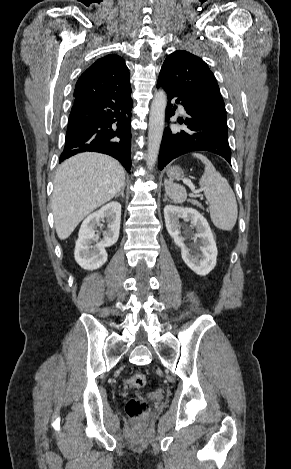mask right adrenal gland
Segmentation results:
<instances>
[{
  "label": "right adrenal gland",
  "mask_w": 291,
  "mask_h": 469,
  "mask_svg": "<svg viewBox=\"0 0 291 469\" xmlns=\"http://www.w3.org/2000/svg\"><path fill=\"white\" fill-rule=\"evenodd\" d=\"M124 189H125V185L122 187V189L115 195V198H117L118 196H122V198H124Z\"/></svg>",
  "instance_id": "1"
}]
</instances>
